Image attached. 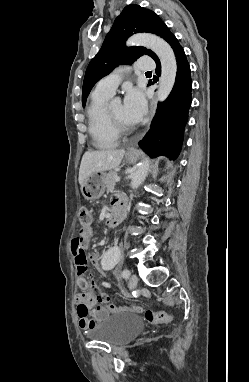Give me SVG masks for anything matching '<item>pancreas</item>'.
I'll return each instance as SVG.
<instances>
[{"label":"pancreas","instance_id":"1","mask_svg":"<svg viewBox=\"0 0 249 382\" xmlns=\"http://www.w3.org/2000/svg\"><path fill=\"white\" fill-rule=\"evenodd\" d=\"M117 176V172L116 171H110L105 180H104V186L108 189V190H112L116 184V181H115V177Z\"/></svg>","mask_w":249,"mask_h":382}]
</instances>
